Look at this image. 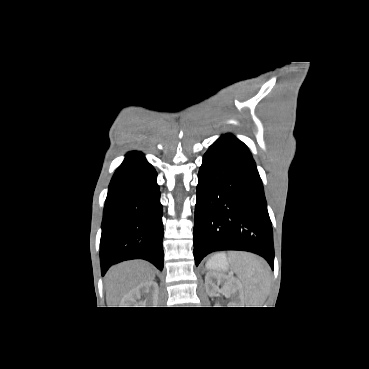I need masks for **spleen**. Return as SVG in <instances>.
<instances>
[{"instance_id": "1", "label": "spleen", "mask_w": 369, "mask_h": 369, "mask_svg": "<svg viewBox=\"0 0 369 369\" xmlns=\"http://www.w3.org/2000/svg\"><path fill=\"white\" fill-rule=\"evenodd\" d=\"M229 261L241 281L247 305H250L248 307H261L270 286L268 264L263 259L245 252H230Z\"/></svg>"}]
</instances>
